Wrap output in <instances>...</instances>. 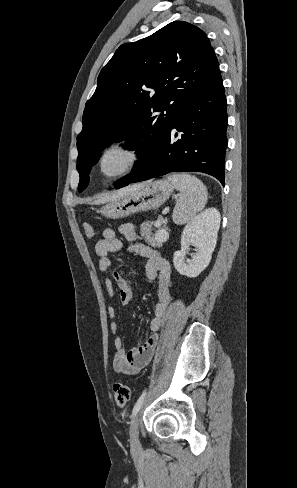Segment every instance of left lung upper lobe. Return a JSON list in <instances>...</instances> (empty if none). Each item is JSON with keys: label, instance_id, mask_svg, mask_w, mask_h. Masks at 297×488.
Wrapping results in <instances>:
<instances>
[{"label": "left lung upper lobe", "instance_id": "obj_1", "mask_svg": "<svg viewBox=\"0 0 297 488\" xmlns=\"http://www.w3.org/2000/svg\"><path fill=\"white\" fill-rule=\"evenodd\" d=\"M220 75L215 52L198 27L174 21L151 36L121 45L102 68L86 102L77 137L78 191L100 152L114 141L136 144L142 159L115 185L140 172L182 111Z\"/></svg>", "mask_w": 297, "mask_h": 488}]
</instances>
